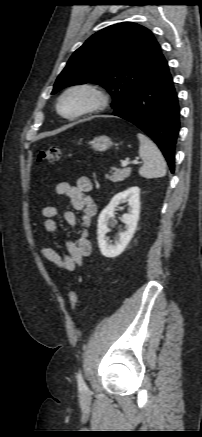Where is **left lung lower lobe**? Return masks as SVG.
<instances>
[{
    "label": "left lung lower lobe",
    "mask_w": 202,
    "mask_h": 437,
    "mask_svg": "<svg viewBox=\"0 0 202 437\" xmlns=\"http://www.w3.org/2000/svg\"><path fill=\"white\" fill-rule=\"evenodd\" d=\"M112 114L132 122L151 137L174 172L180 113L167 62L155 77L115 108Z\"/></svg>",
    "instance_id": "1"
}]
</instances>
